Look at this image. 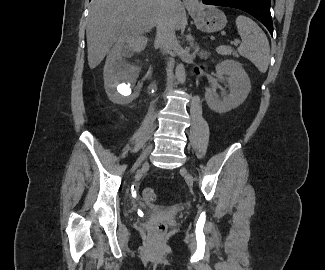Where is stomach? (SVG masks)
I'll use <instances>...</instances> for the list:
<instances>
[{
  "mask_svg": "<svg viewBox=\"0 0 325 270\" xmlns=\"http://www.w3.org/2000/svg\"><path fill=\"white\" fill-rule=\"evenodd\" d=\"M190 14L197 28L207 33L220 31L227 23L224 13L215 7L200 6L191 10Z\"/></svg>",
  "mask_w": 325,
  "mask_h": 270,
  "instance_id": "1",
  "label": "stomach"
}]
</instances>
